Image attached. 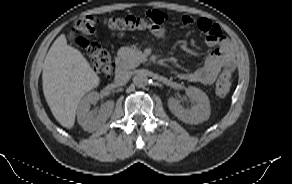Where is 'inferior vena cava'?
Returning <instances> with one entry per match:
<instances>
[{"instance_id":"obj_1","label":"inferior vena cava","mask_w":292,"mask_h":184,"mask_svg":"<svg viewBox=\"0 0 292 184\" xmlns=\"http://www.w3.org/2000/svg\"><path fill=\"white\" fill-rule=\"evenodd\" d=\"M131 78V72L127 70L117 71L115 74V83L119 86L125 85Z\"/></svg>"}]
</instances>
